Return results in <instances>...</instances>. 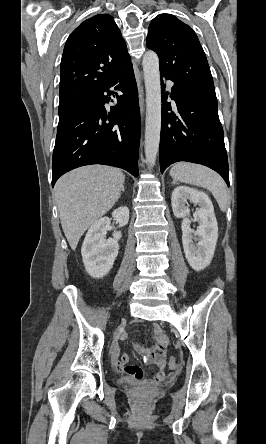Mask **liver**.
<instances>
[{
    "label": "liver",
    "mask_w": 266,
    "mask_h": 444,
    "mask_svg": "<svg viewBox=\"0 0 266 444\" xmlns=\"http://www.w3.org/2000/svg\"><path fill=\"white\" fill-rule=\"evenodd\" d=\"M125 175L120 169L90 165L66 173L54 191L62 229L75 250L84 232L118 200Z\"/></svg>",
    "instance_id": "liver-1"
}]
</instances>
